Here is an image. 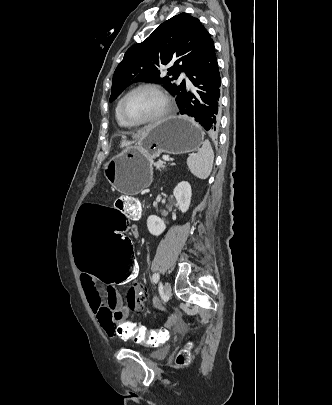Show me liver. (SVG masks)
I'll list each match as a JSON object with an SVG mask.
<instances>
[{
  "label": "liver",
  "instance_id": "liver-1",
  "mask_svg": "<svg viewBox=\"0 0 332 405\" xmlns=\"http://www.w3.org/2000/svg\"><path fill=\"white\" fill-rule=\"evenodd\" d=\"M152 128V125L146 126L144 127L142 130L138 131L135 135H134V139L135 140H139L140 138H142L143 136H145ZM134 141H130L127 140L126 136H122V141L120 143V147L123 148L125 146L131 145Z\"/></svg>",
  "mask_w": 332,
  "mask_h": 405
}]
</instances>
